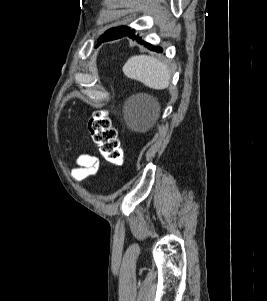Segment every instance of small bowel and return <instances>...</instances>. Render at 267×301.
<instances>
[{
	"instance_id": "c3829d8e",
	"label": "small bowel",
	"mask_w": 267,
	"mask_h": 301,
	"mask_svg": "<svg viewBox=\"0 0 267 301\" xmlns=\"http://www.w3.org/2000/svg\"><path fill=\"white\" fill-rule=\"evenodd\" d=\"M100 167L99 159L88 153H81L76 159V167L71 170L72 177L82 181L94 176Z\"/></svg>"
}]
</instances>
